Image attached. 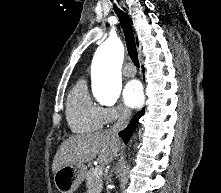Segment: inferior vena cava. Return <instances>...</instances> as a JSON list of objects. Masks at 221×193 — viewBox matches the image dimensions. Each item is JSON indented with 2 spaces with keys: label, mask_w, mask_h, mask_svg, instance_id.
<instances>
[{
  "label": "inferior vena cava",
  "mask_w": 221,
  "mask_h": 193,
  "mask_svg": "<svg viewBox=\"0 0 221 193\" xmlns=\"http://www.w3.org/2000/svg\"><path fill=\"white\" fill-rule=\"evenodd\" d=\"M130 115L131 112L128 108L122 107L119 109L117 122L109 130L115 137L118 138V133L127 127Z\"/></svg>",
  "instance_id": "602c4592"
}]
</instances>
